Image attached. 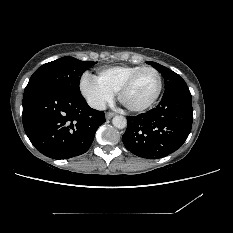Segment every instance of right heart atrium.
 Here are the masks:
<instances>
[{"instance_id": "obj_1", "label": "right heart atrium", "mask_w": 233, "mask_h": 233, "mask_svg": "<svg viewBox=\"0 0 233 233\" xmlns=\"http://www.w3.org/2000/svg\"><path fill=\"white\" fill-rule=\"evenodd\" d=\"M80 89L89 105L95 109H103L113 98L109 91L88 75L82 78Z\"/></svg>"}]
</instances>
